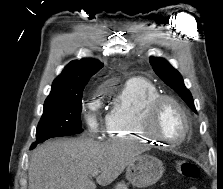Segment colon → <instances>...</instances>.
<instances>
[{
	"instance_id": "colon-1",
	"label": "colon",
	"mask_w": 223,
	"mask_h": 189,
	"mask_svg": "<svg viewBox=\"0 0 223 189\" xmlns=\"http://www.w3.org/2000/svg\"><path fill=\"white\" fill-rule=\"evenodd\" d=\"M178 172L185 178L194 180L199 176V168L196 164L188 161H179L177 163ZM189 189H197L196 186H192Z\"/></svg>"
}]
</instances>
